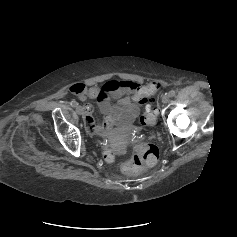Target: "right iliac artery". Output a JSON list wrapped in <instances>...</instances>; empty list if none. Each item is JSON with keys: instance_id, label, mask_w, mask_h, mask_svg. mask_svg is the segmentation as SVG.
<instances>
[{"instance_id": "right-iliac-artery-1", "label": "right iliac artery", "mask_w": 237, "mask_h": 237, "mask_svg": "<svg viewBox=\"0 0 237 237\" xmlns=\"http://www.w3.org/2000/svg\"><path fill=\"white\" fill-rule=\"evenodd\" d=\"M70 105H71L72 107H77V106H78V103H77L75 100H73V101H71Z\"/></svg>"}]
</instances>
